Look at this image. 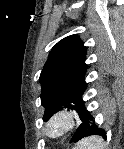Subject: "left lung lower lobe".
Segmentation results:
<instances>
[{
  "mask_svg": "<svg viewBox=\"0 0 124 149\" xmlns=\"http://www.w3.org/2000/svg\"><path fill=\"white\" fill-rule=\"evenodd\" d=\"M101 136L106 137V132L104 129L100 128L94 118L88 113L86 120L78 127L75 134L71 138L70 142H78L84 137L88 136Z\"/></svg>",
  "mask_w": 124,
  "mask_h": 149,
  "instance_id": "left-lung-lower-lobe-1",
  "label": "left lung lower lobe"
}]
</instances>
